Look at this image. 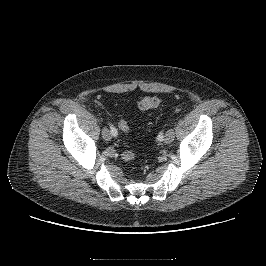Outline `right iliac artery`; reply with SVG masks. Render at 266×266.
Listing matches in <instances>:
<instances>
[{"label": "right iliac artery", "mask_w": 266, "mask_h": 266, "mask_svg": "<svg viewBox=\"0 0 266 266\" xmlns=\"http://www.w3.org/2000/svg\"><path fill=\"white\" fill-rule=\"evenodd\" d=\"M110 129H111L112 136L116 137L118 134L116 128L113 125H110Z\"/></svg>", "instance_id": "obj_1"}]
</instances>
